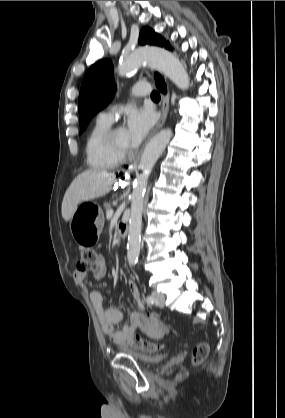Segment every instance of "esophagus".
I'll list each match as a JSON object with an SVG mask.
<instances>
[{"label": "esophagus", "mask_w": 285, "mask_h": 418, "mask_svg": "<svg viewBox=\"0 0 285 418\" xmlns=\"http://www.w3.org/2000/svg\"><path fill=\"white\" fill-rule=\"evenodd\" d=\"M168 110H169V97L167 94H163L162 98H161V116H160V120L158 122V124L156 125V127L154 128V130L152 131L151 135L155 134L165 123L166 118H167V114H168ZM140 155H138V157L135 159V161L128 167V170H135L139 164V160H140Z\"/></svg>", "instance_id": "1"}]
</instances>
